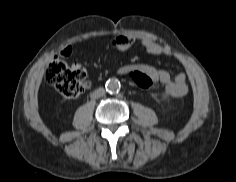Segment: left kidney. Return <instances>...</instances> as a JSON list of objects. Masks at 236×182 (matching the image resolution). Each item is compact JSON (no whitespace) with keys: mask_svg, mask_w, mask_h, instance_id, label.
Listing matches in <instances>:
<instances>
[{"mask_svg":"<svg viewBox=\"0 0 236 182\" xmlns=\"http://www.w3.org/2000/svg\"><path fill=\"white\" fill-rule=\"evenodd\" d=\"M163 99H167V97H166V96H163Z\"/></svg>","mask_w":236,"mask_h":182,"instance_id":"left-kidney-1","label":"left kidney"}]
</instances>
